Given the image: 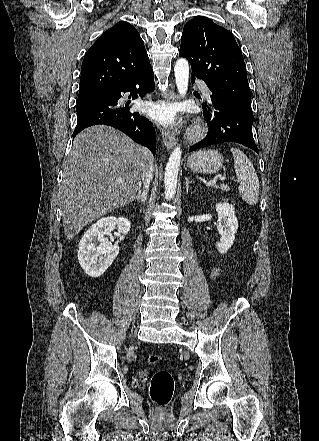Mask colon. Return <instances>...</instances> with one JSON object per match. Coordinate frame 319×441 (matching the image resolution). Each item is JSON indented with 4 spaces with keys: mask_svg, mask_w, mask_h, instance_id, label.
<instances>
[{
    "mask_svg": "<svg viewBox=\"0 0 319 441\" xmlns=\"http://www.w3.org/2000/svg\"><path fill=\"white\" fill-rule=\"evenodd\" d=\"M147 361L151 365H157L162 361L159 354H149ZM150 396L160 411H164L169 404L174 392V379L172 374L160 369L155 372L150 381Z\"/></svg>",
    "mask_w": 319,
    "mask_h": 441,
    "instance_id": "obj_1",
    "label": "colon"
}]
</instances>
